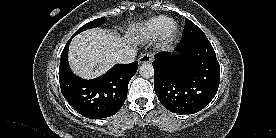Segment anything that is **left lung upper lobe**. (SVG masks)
I'll list each match as a JSON object with an SVG mask.
<instances>
[{
  "label": "left lung upper lobe",
  "mask_w": 276,
  "mask_h": 138,
  "mask_svg": "<svg viewBox=\"0 0 276 138\" xmlns=\"http://www.w3.org/2000/svg\"><path fill=\"white\" fill-rule=\"evenodd\" d=\"M197 35H205L203 31L196 26L191 20L186 19L185 29L183 32V38L197 36Z\"/></svg>",
  "instance_id": "left-lung-upper-lobe-1"
}]
</instances>
